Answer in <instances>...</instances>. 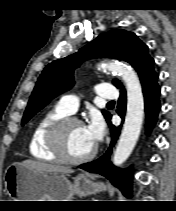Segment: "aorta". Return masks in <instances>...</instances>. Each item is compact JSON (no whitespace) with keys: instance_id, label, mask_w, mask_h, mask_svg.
<instances>
[{"instance_id":"762f6f07","label":"aorta","mask_w":176,"mask_h":211,"mask_svg":"<svg viewBox=\"0 0 176 211\" xmlns=\"http://www.w3.org/2000/svg\"><path fill=\"white\" fill-rule=\"evenodd\" d=\"M99 69L118 73L127 90V110L118 145L114 152L113 164L122 165L133 151L139 138L144 118V97L138 75L133 68L123 63H102Z\"/></svg>"}]
</instances>
